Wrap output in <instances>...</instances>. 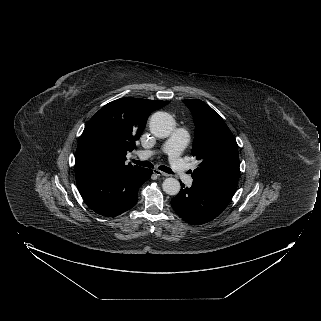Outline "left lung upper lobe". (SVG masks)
I'll list each match as a JSON object with an SVG mask.
<instances>
[{
	"label": "left lung upper lobe",
	"instance_id": "obj_1",
	"mask_svg": "<svg viewBox=\"0 0 321 321\" xmlns=\"http://www.w3.org/2000/svg\"><path fill=\"white\" fill-rule=\"evenodd\" d=\"M183 102L192 112L196 127L192 155L201 161L192 173L193 180L238 181V145L224 120L201 100Z\"/></svg>",
	"mask_w": 321,
	"mask_h": 321
}]
</instances>
